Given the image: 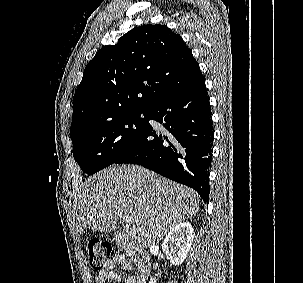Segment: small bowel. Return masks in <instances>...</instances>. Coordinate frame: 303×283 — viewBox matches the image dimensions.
Listing matches in <instances>:
<instances>
[{"label":"small bowel","instance_id":"1","mask_svg":"<svg viewBox=\"0 0 303 283\" xmlns=\"http://www.w3.org/2000/svg\"><path fill=\"white\" fill-rule=\"evenodd\" d=\"M121 266L127 272H132L133 266L129 259L121 255L113 256L106 262L103 270H101L95 277V283L120 282L121 278L115 271L117 266ZM124 283H139L138 275H129L123 280Z\"/></svg>","mask_w":303,"mask_h":283}]
</instances>
